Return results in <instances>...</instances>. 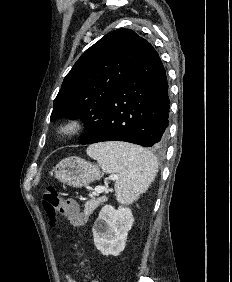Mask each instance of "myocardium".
Here are the masks:
<instances>
[{
	"mask_svg": "<svg viewBox=\"0 0 232 282\" xmlns=\"http://www.w3.org/2000/svg\"><path fill=\"white\" fill-rule=\"evenodd\" d=\"M85 121L80 117H69L63 120L56 128V135L61 139H72L85 130Z\"/></svg>",
	"mask_w": 232,
	"mask_h": 282,
	"instance_id": "1",
	"label": "myocardium"
}]
</instances>
